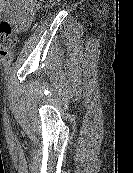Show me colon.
<instances>
[{
    "instance_id": "colon-1",
    "label": "colon",
    "mask_w": 133,
    "mask_h": 173,
    "mask_svg": "<svg viewBox=\"0 0 133 173\" xmlns=\"http://www.w3.org/2000/svg\"><path fill=\"white\" fill-rule=\"evenodd\" d=\"M58 0H38L43 7L55 4ZM16 43V36L7 20L0 19V54L5 56Z\"/></svg>"
}]
</instances>
